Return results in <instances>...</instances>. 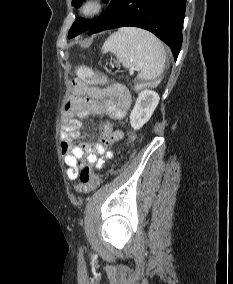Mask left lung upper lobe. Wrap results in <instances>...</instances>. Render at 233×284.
I'll return each mask as SVG.
<instances>
[{"label": "left lung upper lobe", "instance_id": "1", "mask_svg": "<svg viewBox=\"0 0 233 284\" xmlns=\"http://www.w3.org/2000/svg\"><path fill=\"white\" fill-rule=\"evenodd\" d=\"M83 1L84 0H72V6L77 8L82 4ZM104 1L107 3L109 0ZM94 22V20H84L82 18L77 19L69 30L68 38H73L78 34L88 31Z\"/></svg>", "mask_w": 233, "mask_h": 284}]
</instances>
